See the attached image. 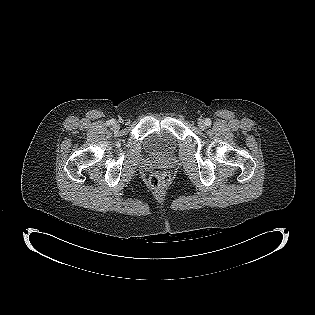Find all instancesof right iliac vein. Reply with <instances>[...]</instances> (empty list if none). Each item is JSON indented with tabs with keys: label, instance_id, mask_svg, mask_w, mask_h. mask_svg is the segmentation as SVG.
<instances>
[{
	"label": "right iliac vein",
	"instance_id": "63e3f726",
	"mask_svg": "<svg viewBox=\"0 0 315 315\" xmlns=\"http://www.w3.org/2000/svg\"><path fill=\"white\" fill-rule=\"evenodd\" d=\"M119 126H120L119 123H115L113 127H114L115 129H118Z\"/></svg>",
	"mask_w": 315,
	"mask_h": 315
}]
</instances>
